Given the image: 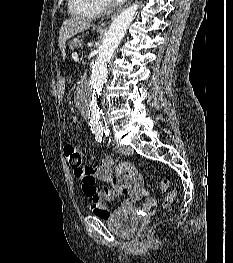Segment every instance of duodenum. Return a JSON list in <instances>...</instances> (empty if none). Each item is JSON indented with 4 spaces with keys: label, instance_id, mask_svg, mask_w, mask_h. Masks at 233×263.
I'll use <instances>...</instances> for the list:
<instances>
[{
    "label": "duodenum",
    "instance_id": "410a0bca",
    "mask_svg": "<svg viewBox=\"0 0 233 263\" xmlns=\"http://www.w3.org/2000/svg\"><path fill=\"white\" fill-rule=\"evenodd\" d=\"M80 78L82 83H87L88 79H87V73H80Z\"/></svg>",
    "mask_w": 233,
    "mask_h": 263
}]
</instances>
